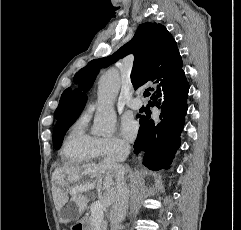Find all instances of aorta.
Returning <instances> with one entry per match:
<instances>
[{"mask_svg":"<svg viewBox=\"0 0 241 230\" xmlns=\"http://www.w3.org/2000/svg\"><path fill=\"white\" fill-rule=\"evenodd\" d=\"M120 89V76L117 69L105 72L98 82V107L96 109L92 133L98 136H111L116 126L114 100Z\"/></svg>","mask_w":241,"mask_h":230,"instance_id":"aorta-1","label":"aorta"}]
</instances>
